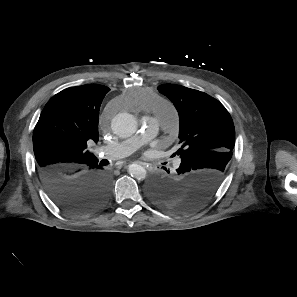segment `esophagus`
<instances>
[{
    "instance_id": "obj_1",
    "label": "esophagus",
    "mask_w": 297,
    "mask_h": 297,
    "mask_svg": "<svg viewBox=\"0 0 297 297\" xmlns=\"http://www.w3.org/2000/svg\"><path fill=\"white\" fill-rule=\"evenodd\" d=\"M137 163L140 164V165H143V166H146L147 165V163L142 162V161H137Z\"/></svg>"
}]
</instances>
